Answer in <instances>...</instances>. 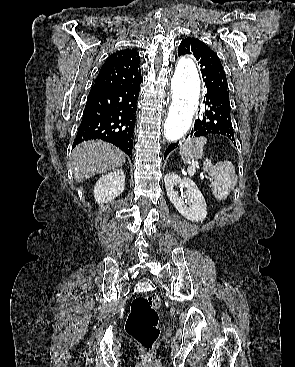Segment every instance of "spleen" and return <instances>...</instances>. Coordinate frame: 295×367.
I'll list each match as a JSON object with an SVG mask.
<instances>
[{
	"label": "spleen",
	"instance_id": "spleen-1",
	"mask_svg": "<svg viewBox=\"0 0 295 367\" xmlns=\"http://www.w3.org/2000/svg\"><path fill=\"white\" fill-rule=\"evenodd\" d=\"M207 139L205 137L186 141L180 147V155L184 163L189 165V173H193L198 165L197 160L204 156L203 148ZM203 170L214 178L211 184L212 194L218 200H225L234 186L237 184L238 177L232 162L220 161L212 164L208 158L203 162Z\"/></svg>",
	"mask_w": 295,
	"mask_h": 367
}]
</instances>
